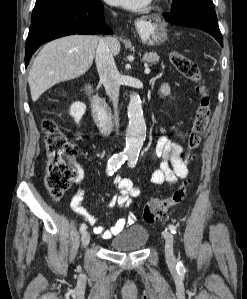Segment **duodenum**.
I'll use <instances>...</instances> for the list:
<instances>
[{
  "instance_id": "duodenum-1",
  "label": "duodenum",
  "mask_w": 247,
  "mask_h": 299,
  "mask_svg": "<svg viewBox=\"0 0 247 299\" xmlns=\"http://www.w3.org/2000/svg\"><path fill=\"white\" fill-rule=\"evenodd\" d=\"M84 93L91 105L94 119L97 125L105 132L112 127V113L106 102L93 93V87L90 84L84 86Z\"/></svg>"
}]
</instances>
